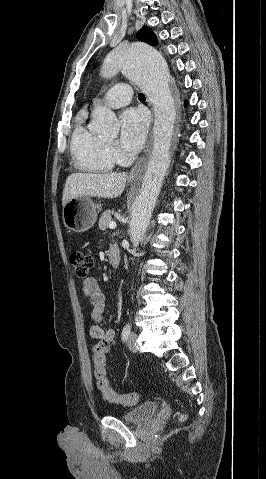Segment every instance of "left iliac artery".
<instances>
[{
	"label": "left iliac artery",
	"instance_id": "left-iliac-artery-1",
	"mask_svg": "<svg viewBox=\"0 0 266 479\" xmlns=\"http://www.w3.org/2000/svg\"><path fill=\"white\" fill-rule=\"evenodd\" d=\"M130 332H131V325L129 323H127L122 330V340L123 341L127 340L128 336L130 335Z\"/></svg>",
	"mask_w": 266,
	"mask_h": 479
}]
</instances>
